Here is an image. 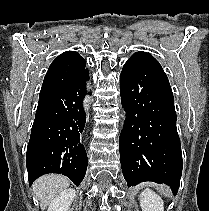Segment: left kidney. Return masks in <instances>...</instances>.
I'll return each mask as SVG.
<instances>
[{
	"label": "left kidney",
	"mask_w": 209,
	"mask_h": 211,
	"mask_svg": "<svg viewBox=\"0 0 209 211\" xmlns=\"http://www.w3.org/2000/svg\"><path fill=\"white\" fill-rule=\"evenodd\" d=\"M139 199L142 211H164L163 200L152 190L142 191Z\"/></svg>",
	"instance_id": "obj_1"
}]
</instances>
